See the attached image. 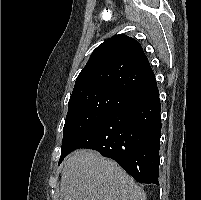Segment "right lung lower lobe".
<instances>
[{
  "label": "right lung lower lobe",
  "mask_w": 201,
  "mask_h": 200,
  "mask_svg": "<svg viewBox=\"0 0 201 200\" xmlns=\"http://www.w3.org/2000/svg\"><path fill=\"white\" fill-rule=\"evenodd\" d=\"M160 111L156 85L81 130L67 144L66 153L79 148L97 150L136 181L159 185Z\"/></svg>",
  "instance_id": "obj_1"
}]
</instances>
